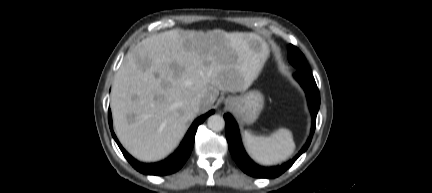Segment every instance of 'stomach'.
Segmentation results:
<instances>
[{
    "instance_id": "obj_1",
    "label": "stomach",
    "mask_w": 432,
    "mask_h": 193,
    "mask_svg": "<svg viewBox=\"0 0 432 193\" xmlns=\"http://www.w3.org/2000/svg\"><path fill=\"white\" fill-rule=\"evenodd\" d=\"M225 104L231 108L243 123L252 124L264 107V96L260 91H249L240 96L227 97Z\"/></svg>"
}]
</instances>
